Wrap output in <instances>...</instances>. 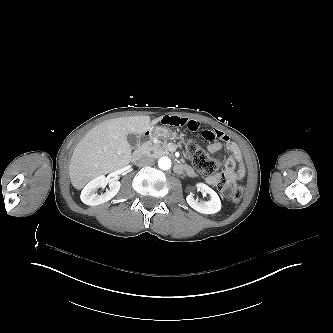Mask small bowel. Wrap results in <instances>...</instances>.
<instances>
[{"label":"small bowel","instance_id":"small-bowel-1","mask_svg":"<svg viewBox=\"0 0 333 333\" xmlns=\"http://www.w3.org/2000/svg\"><path fill=\"white\" fill-rule=\"evenodd\" d=\"M162 124L185 128L189 131H201L202 136L209 141H213L207 147L210 153H215L225 148L229 153V157L224 163V173H214L206 178V182L211 186H216L223 175L234 177L240 181L245 176V165L242 153L238 145L231 141L230 138L221 130L210 128L209 124H201L200 120L188 116H167L163 118ZM218 140V141H215ZM184 169H191L188 165H183Z\"/></svg>","mask_w":333,"mask_h":333}]
</instances>
